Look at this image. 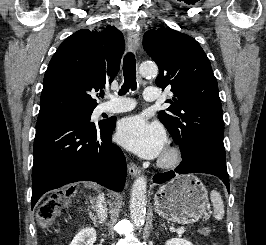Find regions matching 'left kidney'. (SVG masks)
<instances>
[{
	"label": "left kidney",
	"instance_id": "5707ae66",
	"mask_svg": "<svg viewBox=\"0 0 266 245\" xmlns=\"http://www.w3.org/2000/svg\"><path fill=\"white\" fill-rule=\"evenodd\" d=\"M165 245H192V243L188 239H169Z\"/></svg>",
	"mask_w": 266,
	"mask_h": 245
}]
</instances>
